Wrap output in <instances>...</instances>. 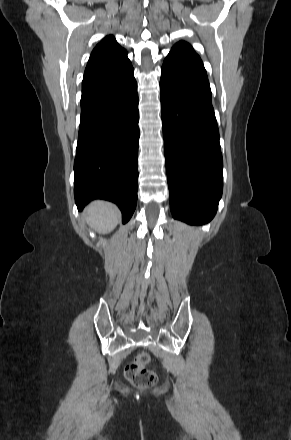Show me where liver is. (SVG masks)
<instances>
[{
  "mask_svg": "<svg viewBox=\"0 0 291 440\" xmlns=\"http://www.w3.org/2000/svg\"><path fill=\"white\" fill-rule=\"evenodd\" d=\"M119 219L118 208L107 201L96 200L86 208L85 220L98 233H110L117 226Z\"/></svg>",
  "mask_w": 291,
  "mask_h": 440,
  "instance_id": "liver-1",
  "label": "liver"
}]
</instances>
